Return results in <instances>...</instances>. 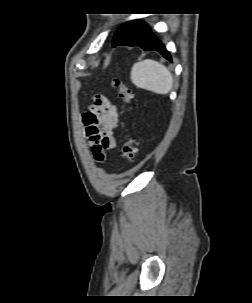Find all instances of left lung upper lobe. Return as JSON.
Wrapping results in <instances>:
<instances>
[{
	"mask_svg": "<svg viewBox=\"0 0 252 303\" xmlns=\"http://www.w3.org/2000/svg\"><path fill=\"white\" fill-rule=\"evenodd\" d=\"M138 24V21H130L120 26L113 38V46L121 41L126 35H128Z\"/></svg>",
	"mask_w": 252,
	"mask_h": 303,
	"instance_id": "1",
	"label": "left lung upper lobe"
}]
</instances>
